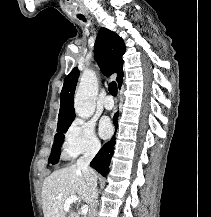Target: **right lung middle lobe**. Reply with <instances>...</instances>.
I'll use <instances>...</instances> for the list:
<instances>
[{
    "instance_id": "dd1d6c3e",
    "label": "right lung middle lobe",
    "mask_w": 211,
    "mask_h": 217,
    "mask_svg": "<svg viewBox=\"0 0 211 217\" xmlns=\"http://www.w3.org/2000/svg\"><path fill=\"white\" fill-rule=\"evenodd\" d=\"M70 124H71V122L62 126L59 129H57L58 133L55 135V138H54V143H53L51 155H50L49 160H48L49 163L56 164L58 162L59 157H60L61 144H62L63 139H64V133L67 131Z\"/></svg>"
}]
</instances>
